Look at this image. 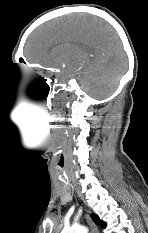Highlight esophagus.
<instances>
[{
    "label": "esophagus",
    "instance_id": "obj_1",
    "mask_svg": "<svg viewBox=\"0 0 148 233\" xmlns=\"http://www.w3.org/2000/svg\"><path fill=\"white\" fill-rule=\"evenodd\" d=\"M87 220H88V223L90 225V233H99V230L97 228V226L88 218V216H86Z\"/></svg>",
    "mask_w": 148,
    "mask_h": 233
}]
</instances>
